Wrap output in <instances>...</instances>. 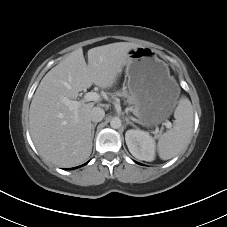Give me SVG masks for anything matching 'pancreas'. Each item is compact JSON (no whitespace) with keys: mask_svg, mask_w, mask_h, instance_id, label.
<instances>
[{"mask_svg":"<svg viewBox=\"0 0 227 227\" xmlns=\"http://www.w3.org/2000/svg\"><path fill=\"white\" fill-rule=\"evenodd\" d=\"M115 96H120V97L122 96V97L127 98V102L129 104H133L134 103L132 96H129L128 93H127V91H119V92H116Z\"/></svg>","mask_w":227,"mask_h":227,"instance_id":"1","label":"pancreas"}]
</instances>
